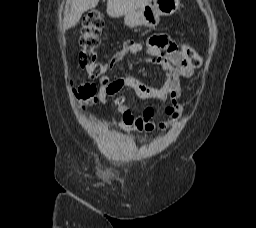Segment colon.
<instances>
[{
    "mask_svg": "<svg viewBox=\"0 0 256 228\" xmlns=\"http://www.w3.org/2000/svg\"><path fill=\"white\" fill-rule=\"evenodd\" d=\"M103 25V18L98 11H90L84 17L80 37L82 51L79 54V63L82 68L86 69L92 79H99L103 74V65L98 61L96 52L100 44ZM180 50L191 67L198 68L201 66V56L190 46L182 45ZM95 92L94 85L89 83L79 84L74 88L75 96L86 103L94 101Z\"/></svg>",
    "mask_w": 256,
    "mask_h": 228,
    "instance_id": "1",
    "label": "colon"
}]
</instances>
